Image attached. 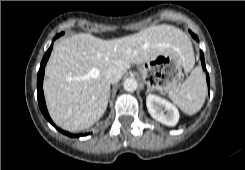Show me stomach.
Masks as SVG:
<instances>
[{
  "label": "stomach",
  "instance_id": "0dacf381",
  "mask_svg": "<svg viewBox=\"0 0 245 170\" xmlns=\"http://www.w3.org/2000/svg\"><path fill=\"white\" fill-rule=\"evenodd\" d=\"M183 65L173 53H164L144 62L139 72L150 91L168 92L181 80Z\"/></svg>",
  "mask_w": 245,
  "mask_h": 170
}]
</instances>
